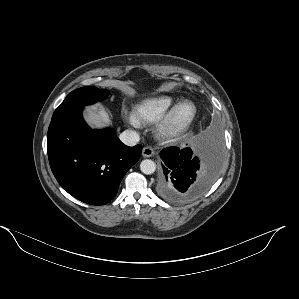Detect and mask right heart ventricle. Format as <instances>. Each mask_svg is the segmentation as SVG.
<instances>
[{
  "label": "right heart ventricle",
  "instance_id": "e07e8e85",
  "mask_svg": "<svg viewBox=\"0 0 299 299\" xmlns=\"http://www.w3.org/2000/svg\"><path fill=\"white\" fill-rule=\"evenodd\" d=\"M175 103V99L168 95L149 97L134 107V116L141 123H156L174 107Z\"/></svg>",
  "mask_w": 299,
  "mask_h": 299
}]
</instances>
